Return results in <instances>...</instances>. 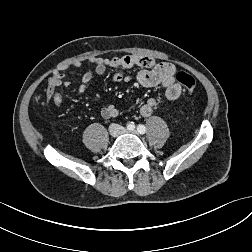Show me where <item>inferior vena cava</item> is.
<instances>
[{
    "label": "inferior vena cava",
    "instance_id": "obj_1",
    "mask_svg": "<svg viewBox=\"0 0 252 252\" xmlns=\"http://www.w3.org/2000/svg\"><path fill=\"white\" fill-rule=\"evenodd\" d=\"M109 131L113 136H118L119 134H121L123 132V127L118 125V124H112L109 127Z\"/></svg>",
    "mask_w": 252,
    "mask_h": 252
}]
</instances>
